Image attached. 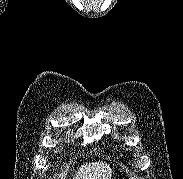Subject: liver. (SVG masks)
Returning <instances> with one entry per match:
<instances>
[{"instance_id":"obj_1","label":"liver","mask_w":183,"mask_h":179,"mask_svg":"<svg viewBox=\"0 0 183 179\" xmlns=\"http://www.w3.org/2000/svg\"><path fill=\"white\" fill-rule=\"evenodd\" d=\"M112 169L105 162L83 164L73 176V179H111Z\"/></svg>"}]
</instances>
